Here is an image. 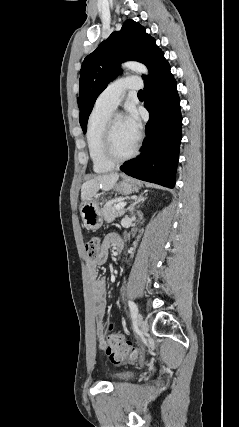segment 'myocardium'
<instances>
[{
  "label": "myocardium",
  "mask_w": 239,
  "mask_h": 427,
  "mask_svg": "<svg viewBox=\"0 0 239 427\" xmlns=\"http://www.w3.org/2000/svg\"><path fill=\"white\" fill-rule=\"evenodd\" d=\"M121 117L119 114H111L108 118L102 138V155L106 161L113 165H118L132 159L138 152L139 140H136V143L133 149L124 156H118L113 147V125L116 118Z\"/></svg>",
  "instance_id": "myocardium-1"
}]
</instances>
